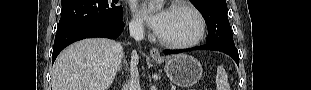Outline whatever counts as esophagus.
<instances>
[{
  "label": "esophagus",
  "instance_id": "obj_1",
  "mask_svg": "<svg viewBox=\"0 0 311 90\" xmlns=\"http://www.w3.org/2000/svg\"><path fill=\"white\" fill-rule=\"evenodd\" d=\"M150 56H151L153 59H160V58H161V56H160V51H159L157 48H155V47L151 48V50H150Z\"/></svg>",
  "mask_w": 311,
  "mask_h": 90
}]
</instances>
